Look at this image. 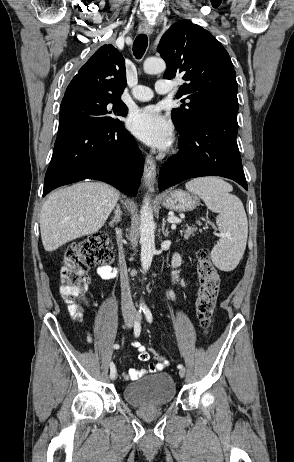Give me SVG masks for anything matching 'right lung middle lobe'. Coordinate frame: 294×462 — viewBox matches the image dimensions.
<instances>
[{
  "label": "right lung middle lobe",
  "instance_id": "1",
  "mask_svg": "<svg viewBox=\"0 0 294 462\" xmlns=\"http://www.w3.org/2000/svg\"><path fill=\"white\" fill-rule=\"evenodd\" d=\"M126 114V105L117 97L93 94L69 96L63 98L60 106L58 133L81 127L112 125L119 121L115 115Z\"/></svg>",
  "mask_w": 294,
  "mask_h": 462
}]
</instances>
